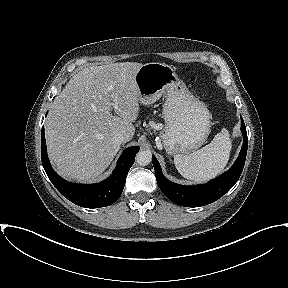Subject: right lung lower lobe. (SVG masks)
Wrapping results in <instances>:
<instances>
[{
    "label": "right lung lower lobe",
    "instance_id": "98d812e1",
    "mask_svg": "<svg viewBox=\"0 0 288 288\" xmlns=\"http://www.w3.org/2000/svg\"><path fill=\"white\" fill-rule=\"evenodd\" d=\"M139 146L127 148L118 160L113 174L106 180L92 185L67 182L59 177L50 166L44 128L41 134V159L44 170L56 189L74 204L85 208L105 207L113 204L121 195L126 176L134 164Z\"/></svg>",
    "mask_w": 288,
    "mask_h": 288
}]
</instances>
